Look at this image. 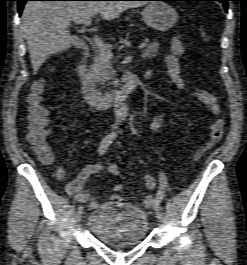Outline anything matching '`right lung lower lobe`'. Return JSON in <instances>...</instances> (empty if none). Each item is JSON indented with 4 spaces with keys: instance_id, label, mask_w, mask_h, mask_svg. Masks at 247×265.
Returning <instances> with one entry per match:
<instances>
[{
    "instance_id": "98d812e1",
    "label": "right lung lower lobe",
    "mask_w": 247,
    "mask_h": 265,
    "mask_svg": "<svg viewBox=\"0 0 247 265\" xmlns=\"http://www.w3.org/2000/svg\"><path fill=\"white\" fill-rule=\"evenodd\" d=\"M18 1V12L21 15L22 9L26 1H63V0H16ZM64 1H106V0H64Z\"/></svg>"
}]
</instances>
